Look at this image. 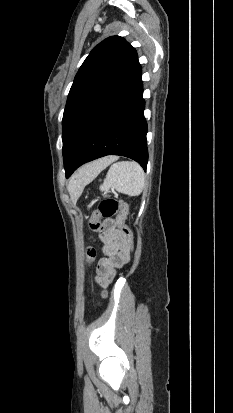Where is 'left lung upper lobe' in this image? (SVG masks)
<instances>
[{"label": "left lung upper lobe", "mask_w": 233, "mask_h": 413, "mask_svg": "<svg viewBox=\"0 0 233 413\" xmlns=\"http://www.w3.org/2000/svg\"><path fill=\"white\" fill-rule=\"evenodd\" d=\"M136 50L120 36L103 40L90 52L75 76L63 115V158L67 165L94 116L126 79Z\"/></svg>", "instance_id": "5c2ea615"}]
</instances>
